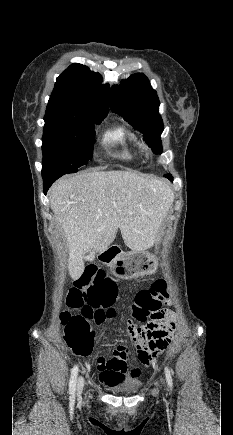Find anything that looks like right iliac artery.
<instances>
[{"label": "right iliac artery", "mask_w": 233, "mask_h": 435, "mask_svg": "<svg viewBox=\"0 0 233 435\" xmlns=\"http://www.w3.org/2000/svg\"><path fill=\"white\" fill-rule=\"evenodd\" d=\"M77 375H78V367L74 366L71 371V377L69 382V393L72 397L75 396Z\"/></svg>", "instance_id": "82829eb1"}]
</instances>
